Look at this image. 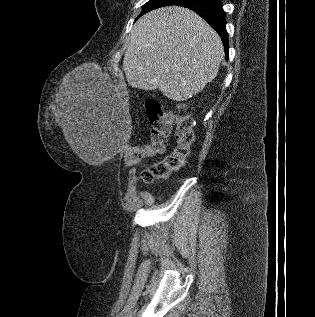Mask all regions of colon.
I'll list each match as a JSON object with an SVG mask.
<instances>
[{
	"mask_svg": "<svg viewBox=\"0 0 315 317\" xmlns=\"http://www.w3.org/2000/svg\"><path fill=\"white\" fill-rule=\"evenodd\" d=\"M146 114L151 126L150 142L127 147L125 162L128 165H135L144 158L162 154L173 126L176 138V145L169 154L161 160L149 164L141 172L140 180L150 184L169 177L183 167L191 153L194 132L192 119L188 114L164 111L154 99L146 102Z\"/></svg>",
	"mask_w": 315,
	"mask_h": 317,
	"instance_id": "5ec220e1",
	"label": "colon"
}]
</instances>
